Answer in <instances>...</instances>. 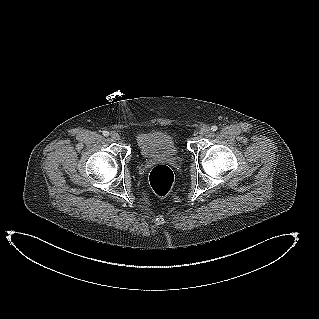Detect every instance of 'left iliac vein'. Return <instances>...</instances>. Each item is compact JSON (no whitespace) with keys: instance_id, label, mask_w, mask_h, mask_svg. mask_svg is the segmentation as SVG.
Segmentation results:
<instances>
[{"instance_id":"4c4485c4","label":"left iliac vein","mask_w":319,"mask_h":319,"mask_svg":"<svg viewBox=\"0 0 319 319\" xmlns=\"http://www.w3.org/2000/svg\"><path fill=\"white\" fill-rule=\"evenodd\" d=\"M209 132H210V127H208V126H203V127L200 129V134H201V135H207Z\"/></svg>"}]
</instances>
